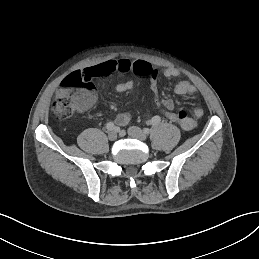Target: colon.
Returning a JSON list of instances; mask_svg holds the SVG:
<instances>
[{
    "label": "colon",
    "mask_w": 259,
    "mask_h": 259,
    "mask_svg": "<svg viewBox=\"0 0 259 259\" xmlns=\"http://www.w3.org/2000/svg\"><path fill=\"white\" fill-rule=\"evenodd\" d=\"M94 100L93 85L86 81L79 72L66 76L58 89L52 111L58 118H67L75 111L85 110ZM188 115L184 111H173L168 118L182 124Z\"/></svg>",
    "instance_id": "1"
}]
</instances>
